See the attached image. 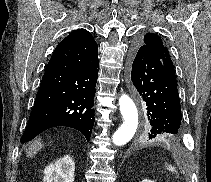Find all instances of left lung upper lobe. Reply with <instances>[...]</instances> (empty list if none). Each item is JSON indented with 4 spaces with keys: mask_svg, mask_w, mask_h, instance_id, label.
I'll return each mask as SVG.
<instances>
[{
    "mask_svg": "<svg viewBox=\"0 0 211 182\" xmlns=\"http://www.w3.org/2000/svg\"><path fill=\"white\" fill-rule=\"evenodd\" d=\"M137 46L147 47L151 52L156 55L163 62L166 70L176 80L175 69L172 63V60L169 55L167 47L164 46L162 39L154 34L147 33L142 39L137 41Z\"/></svg>",
    "mask_w": 211,
    "mask_h": 182,
    "instance_id": "left-lung-upper-lobe-1",
    "label": "left lung upper lobe"
}]
</instances>
